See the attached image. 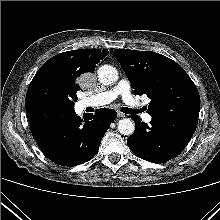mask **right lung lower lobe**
Wrapping results in <instances>:
<instances>
[{
    "instance_id": "right-lung-lower-lobe-1",
    "label": "right lung lower lobe",
    "mask_w": 220,
    "mask_h": 220,
    "mask_svg": "<svg viewBox=\"0 0 220 220\" xmlns=\"http://www.w3.org/2000/svg\"><path fill=\"white\" fill-rule=\"evenodd\" d=\"M25 106L32 135L42 152L54 163L70 167L96 155L117 116L115 110L101 108L82 120L74 108L40 99H28Z\"/></svg>"
}]
</instances>
